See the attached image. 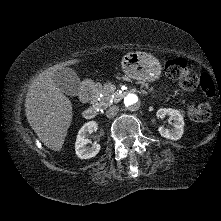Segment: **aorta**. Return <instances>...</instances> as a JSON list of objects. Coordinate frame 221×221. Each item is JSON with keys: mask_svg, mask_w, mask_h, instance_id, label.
<instances>
[{"mask_svg": "<svg viewBox=\"0 0 221 221\" xmlns=\"http://www.w3.org/2000/svg\"><path fill=\"white\" fill-rule=\"evenodd\" d=\"M124 104L130 109H137L139 106V98L136 94H128L124 98Z\"/></svg>", "mask_w": 221, "mask_h": 221, "instance_id": "762f6f07", "label": "aorta"}]
</instances>
